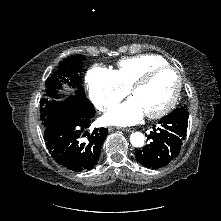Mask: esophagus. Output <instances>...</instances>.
<instances>
[{
  "label": "esophagus",
  "instance_id": "esophagus-1",
  "mask_svg": "<svg viewBox=\"0 0 221 221\" xmlns=\"http://www.w3.org/2000/svg\"><path fill=\"white\" fill-rule=\"evenodd\" d=\"M124 132H133L134 130L132 128H121Z\"/></svg>",
  "mask_w": 221,
  "mask_h": 221
}]
</instances>
